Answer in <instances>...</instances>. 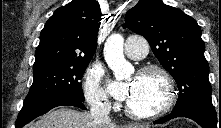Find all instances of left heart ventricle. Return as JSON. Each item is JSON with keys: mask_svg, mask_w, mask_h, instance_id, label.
Segmentation results:
<instances>
[{"mask_svg": "<svg viewBox=\"0 0 221 128\" xmlns=\"http://www.w3.org/2000/svg\"><path fill=\"white\" fill-rule=\"evenodd\" d=\"M163 94L164 86L160 77L147 74L136 78L134 91L126 103L135 111L153 109L155 103L162 100Z\"/></svg>", "mask_w": 221, "mask_h": 128, "instance_id": "b2bd125f", "label": "left heart ventricle"}]
</instances>
